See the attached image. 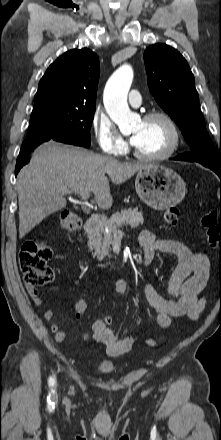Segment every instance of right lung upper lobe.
<instances>
[{
    "label": "right lung upper lobe",
    "mask_w": 221,
    "mask_h": 440,
    "mask_svg": "<svg viewBox=\"0 0 221 440\" xmlns=\"http://www.w3.org/2000/svg\"><path fill=\"white\" fill-rule=\"evenodd\" d=\"M100 74L97 55L87 48L73 49L52 63L41 78L34 103L96 105Z\"/></svg>",
    "instance_id": "cb5924a9"
}]
</instances>
